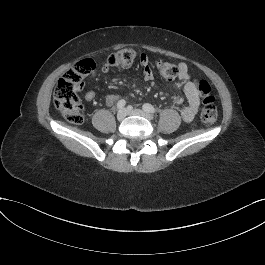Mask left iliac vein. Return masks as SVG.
Listing matches in <instances>:
<instances>
[{"label":"left iliac vein","mask_w":265,"mask_h":265,"mask_svg":"<svg viewBox=\"0 0 265 265\" xmlns=\"http://www.w3.org/2000/svg\"><path fill=\"white\" fill-rule=\"evenodd\" d=\"M128 114L141 116V117H144L148 120H153V118H154L152 114H150L146 111L140 110V109H128Z\"/></svg>","instance_id":"obj_1"}]
</instances>
